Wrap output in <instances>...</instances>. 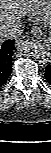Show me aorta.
Masks as SVG:
<instances>
[{
    "label": "aorta",
    "mask_w": 51,
    "mask_h": 153,
    "mask_svg": "<svg viewBox=\"0 0 51 153\" xmlns=\"http://www.w3.org/2000/svg\"><path fill=\"white\" fill-rule=\"evenodd\" d=\"M15 47L16 50L22 54L33 56L41 60L46 58L44 48L38 42L28 36L18 39L15 43Z\"/></svg>",
    "instance_id": "aorta-1"
}]
</instances>
